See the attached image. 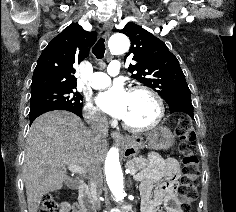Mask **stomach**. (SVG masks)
<instances>
[{"mask_svg":"<svg viewBox=\"0 0 236 212\" xmlns=\"http://www.w3.org/2000/svg\"><path fill=\"white\" fill-rule=\"evenodd\" d=\"M174 143V136L167 127H158L150 131L145 137L140 135H132L127 138L124 145L127 155L135 156L140 149L145 146L153 150L169 149Z\"/></svg>","mask_w":236,"mask_h":212,"instance_id":"obj_1","label":"stomach"}]
</instances>
